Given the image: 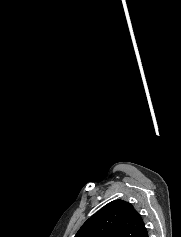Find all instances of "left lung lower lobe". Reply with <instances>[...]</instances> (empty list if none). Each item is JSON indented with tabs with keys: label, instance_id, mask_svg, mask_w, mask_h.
Wrapping results in <instances>:
<instances>
[{
	"label": "left lung lower lobe",
	"instance_id": "obj_1",
	"mask_svg": "<svg viewBox=\"0 0 181 237\" xmlns=\"http://www.w3.org/2000/svg\"><path fill=\"white\" fill-rule=\"evenodd\" d=\"M141 237H148L147 230L143 233V235Z\"/></svg>",
	"mask_w": 181,
	"mask_h": 237
}]
</instances>
